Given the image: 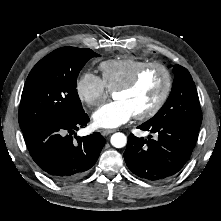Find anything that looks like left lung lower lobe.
<instances>
[{
    "instance_id": "left-lung-lower-lobe-1",
    "label": "left lung lower lobe",
    "mask_w": 221,
    "mask_h": 221,
    "mask_svg": "<svg viewBox=\"0 0 221 221\" xmlns=\"http://www.w3.org/2000/svg\"><path fill=\"white\" fill-rule=\"evenodd\" d=\"M139 129L156 133L147 140L133 134L128 137L124 158L129 170L149 181H163L176 175L189 160L198 139V132L178 122L147 121Z\"/></svg>"
}]
</instances>
